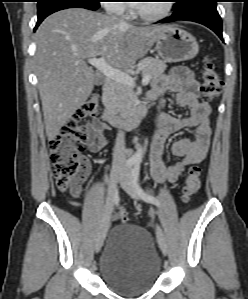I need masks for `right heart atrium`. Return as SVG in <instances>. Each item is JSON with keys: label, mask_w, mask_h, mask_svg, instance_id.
<instances>
[{"label": "right heart atrium", "mask_w": 248, "mask_h": 299, "mask_svg": "<svg viewBox=\"0 0 248 299\" xmlns=\"http://www.w3.org/2000/svg\"><path fill=\"white\" fill-rule=\"evenodd\" d=\"M123 2V0H107L105 3L106 9L114 14H124L126 7Z\"/></svg>", "instance_id": "d8ad5b80"}]
</instances>
